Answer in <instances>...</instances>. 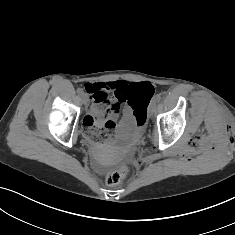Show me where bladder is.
Returning <instances> with one entry per match:
<instances>
[{"label": "bladder", "mask_w": 235, "mask_h": 235, "mask_svg": "<svg viewBox=\"0 0 235 235\" xmlns=\"http://www.w3.org/2000/svg\"><path fill=\"white\" fill-rule=\"evenodd\" d=\"M138 135L137 128L132 122H122L117 128V137L123 141H128Z\"/></svg>", "instance_id": "obj_1"}]
</instances>
